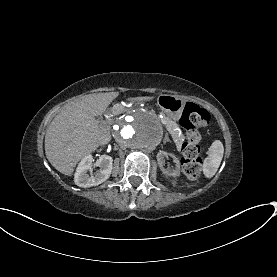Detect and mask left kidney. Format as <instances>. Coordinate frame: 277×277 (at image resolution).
Masks as SVG:
<instances>
[{
  "label": "left kidney",
  "instance_id": "1",
  "mask_svg": "<svg viewBox=\"0 0 277 277\" xmlns=\"http://www.w3.org/2000/svg\"><path fill=\"white\" fill-rule=\"evenodd\" d=\"M169 156L173 158L174 162L176 163V165L178 167L177 169H175V170H168V169L164 168V161L163 160H164L165 157H169ZM157 162H158V165H159L161 171L164 174H166L168 176H172V177H178V176H180V169H179V167H180V161L173 154L167 153L165 151H160L157 154Z\"/></svg>",
  "mask_w": 277,
  "mask_h": 277
}]
</instances>
